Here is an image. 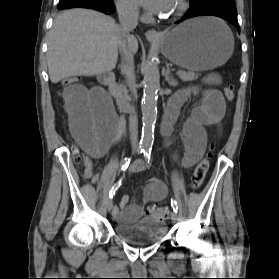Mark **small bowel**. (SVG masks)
I'll return each mask as SVG.
<instances>
[{"instance_id": "small-bowel-1", "label": "small bowel", "mask_w": 279, "mask_h": 279, "mask_svg": "<svg viewBox=\"0 0 279 279\" xmlns=\"http://www.w3.org/2000/svg\"><path fill=\"white\" fill-rule=\"evenodd\" d=\"M194 88L192 92H197ZM203 102L196 107L184 125L185 155L182 164L192 166L203 154L207 134L205 126L220 125L225 113V102L221 92L214 89L204 90ZM188 92L178 93L169 103L163 123L165 135L178 115L179 108ZM65 110L68 114L69 127L73 138L94 158L105 156L118 139L120 120L106 92L99 88H86L81 84L66 87L62 93ZM147 169L142 160L135 161L130 166L131 173H140ZM82 176L97 182L91 166L86 167ZM168 190L164 182L153 178L148 181L144 191V203L163 200ZM128 197L122 196L114 207L113 215L116 220L130 224L143 215L142 208L137 204H127Z\"/></svg>"}]
</instances>
